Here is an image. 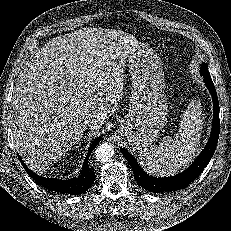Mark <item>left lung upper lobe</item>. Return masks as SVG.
Wrapping results in <instances>:
<instances>
[{
  "label": "left lung upper lobe",
  "mask_w": 231,
  "mask_h": 231,
  "mask_svg": "<svg viewBox=\"0 0 231 231\" xmlns=\"http://www.w3.org/2000/svg\"><path fill=\"white\" fill-rule=\"evenodd\" d=\"M200 72H201V75H203V77L211 78L210 73L208 71L207 64L205 63L202 64Z\"/></svg>",
  "instance_id": "left-lung-upper-lobe-1"
}]
</instances>
